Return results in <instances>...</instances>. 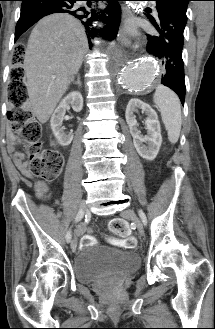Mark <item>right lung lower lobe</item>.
I'll list each match as a JSON object with an SVG mask.
<instances>
[{
  "label": "right lung lower lobe",
  "mask_w": 215,
  "mask_h": 329,
  "mask_svg": "<svg viewBox=\"0 0 215 329\" xmlns=\"http://www.w3.org/2000/svg\"><path fill=\"white\" fill-rule=\"evenodd\" d=\"M21 14L16 25L15 41L28 28L35 24L42 17L53 13H69L80 20L85 26L88 40L95 37H103L107 40L114 39L117 35L120 20L121 7L120 0H101L107 1L109 5L98 15L90 8L91 1L99 0H21ZM86 1L87 6L81 4ZM101 21L103 27H93V21Z\"/></svg>",
  "instance_id": "obj_1"
}]
</instances>
